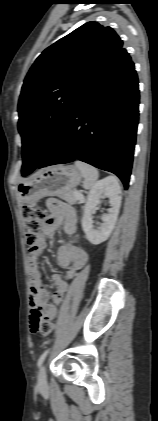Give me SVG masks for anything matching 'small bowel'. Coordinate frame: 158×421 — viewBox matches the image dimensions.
Here are the masks:
<instances>
[{
	"instance_id": "obj_1",
	"label": "small bowel",
	"mask_w": 158,
	"mask_h": 421,
	"mask_svg": "<svg viewBox=\"0 0 158 421\" xmlns=\"http://www.w3.org/2000/svg\"><path fill=\"white\" fill-rule=\"evenodd\" d=\"M51 214L46 219L43 234L51 236L59 228H63L70 240L57 250V262L60 267L69 269L66 275L56 273L52 277L55 291L50 302V295L42 282L39 259L46 248V240L42 238L38 248L30 252L28 267L30 274V327L33 332L43 320H52L57 315V307L61 303L67 290V279L75 271L81 269L88 261L87 252L77 245L75 235L78 229L77 214L67 204L50 200L48 202Z\"/></svg>"
}]
</instances>
